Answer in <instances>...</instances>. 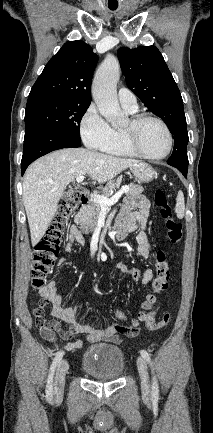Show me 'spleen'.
I'll list each match as a JSON object with an SVG mask.
<instances>
[{"instance_id": "obj_1", "label": "spleen", "mask_w": 213, "mask_h": 433, "mask_svg": "<svg viewBox=\"0 0 213 433\" xmlns=\"http://www.w3.org/2000/svg\"><path fill=\"white\" fill-rule=\"evenodd\" d=\"M175 212L179 219H182L184 217L185 203H184V194L182 191H179L177 194Z\"/></svg>"}]
</instances>
